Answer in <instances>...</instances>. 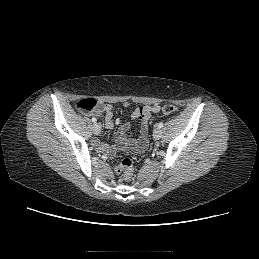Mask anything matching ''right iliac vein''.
<instances>
[{"instance_id": "right-iliac-vein-1", "label": "right iliac vein", "mask_w": 259, "mask_h": 259, "mask_svg": "<svg viewBox=\"0 0 259 259\" xmlns=\"http://www.w3.org/2000/svg\"><path fill=\"white\" fill-rule=\"evenodd\" d=\"M100 131H101V126H100L99 124H94V126H93V132H94L95 134H99Z\"/></svg>"}]
</instances>
